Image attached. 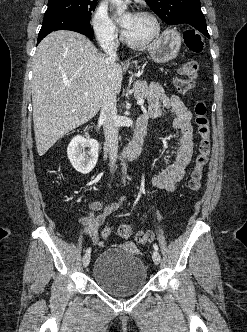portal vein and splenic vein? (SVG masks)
<instances>
[{
	"mask_svg": "<svg viewBox=\"0 0 247 332\" xmlns=\"http://www.w3.org/2000/svg\"><path fill=\"white\" fill-rule=\"evenodd\" d=\"M85 96H88V93H84ZM137 104L140 106H143L144 104V99H138Z\"/></svg>",
	"mask_w": 247,
	"mask_h": 332,
	"instance_id": "1",
	"label": "portal vein and splenic vein"
}]
</instances>
